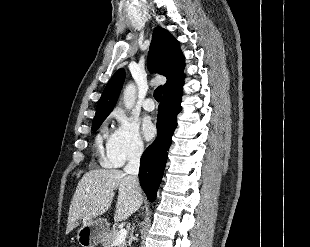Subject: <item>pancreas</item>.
<instances>
[{"label": "pancreas", "instance_id": "cf45deb5", "mask_svg": "<svg viewBox=\"0 0 310 247\" xmlns=\"http://www.w3.org/2000/svg\"><path fill=\"white\" fill-rule=\"evenodd\" d=\"M118 231L113 228L110 232H108L104 238L102 239V245L103 247H112L113 240L115 239ZM118 247H127V242L124 241L121 244L117 245Z\"/></svg>", "mask_w": 310, "mask_h": 247}]
</instances>
